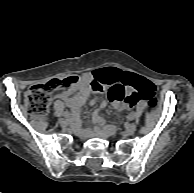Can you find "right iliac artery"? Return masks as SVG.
<instances>
[{
	"label": "right iliac artery",
	"mask_w": 194,
	"mask_h": 193,
	"mask_svg": "<svg viewBox=\"0 0 194 193\" xmlns=\"http://www.w3.org/2000/svg\"><path fill=\"white\" fill-rule=\"evenodd\" d=\"M65 116L67 117V118H72V115L70 114V113H65ZM74 117H75V115H74Z\"/></svg>",
	"instance_id": "1"
}]
</instances>
